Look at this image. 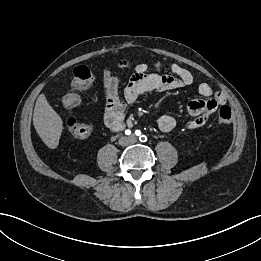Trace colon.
<instances>
[{
	"instance_id": "obj_1",
	"label": "colon",
	"mask_w": 261,
	"mask_h": 261,
	"mask_svg": "<svg viewBox=\"0 0 261 261\" xmlns=\"http://www.w3.org/2000/svg\"><path fill=\"white\" fill-rule=\"evenodd\" d=\"M93 80L90 68L86 65H79L74 69L72 80V89L64 96L63 104L67 110H72L80 99L82 91L87 89ZM233 120V112L227 105L221 106L218 113V122L220 124H229ZM68 132L77 139L87 138L92 131L90 124L77 121L69 117L66 122Z\"/></svg>"
}]
</instances>
